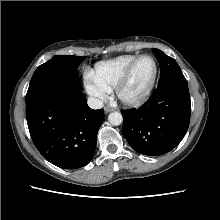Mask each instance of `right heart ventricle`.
Instances as JSON below:
<instances>
[{
	"instance_id": "e07e8e85",
	"label": "right heart ventricle",
	"mask_w": 220,
	"mask_h": 220,
	"mask_svg": "<svg viewBox=\"0 0 220 220\" xmlns=\"http://www.w3.org/2000/svg\"><path fill=\"white\" fill-rule=\"evenodd\" d=\"M137 55H123L117 58L100 62L95 67V78L109 90L114 88L124 76Z\"/></svg>"
}]
</instances>
